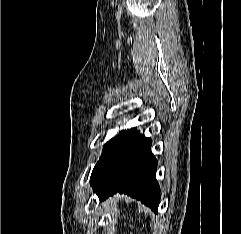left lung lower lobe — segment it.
<instances>
[{
    "label": "left lung lower lobe",
    "instance_id": "left-lung-lower-lobe-1",
    "mask_svg": "<svg viewBox=\"0 0 241 234\" xmlns=\"http://www.w3.org/2000/svg\"><path fill=\"white\" fill-rule=\"evenodd\" d=\"M151 144L137 130L119 133L91 181L100 200L117 192L124 193L157 212L160 188L155 178L157 160L150 151Z\"/></svg>",
    "mask_w": 241,
    "mask_h": 234
}]
</instances>
